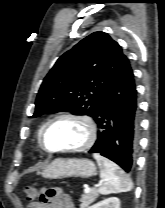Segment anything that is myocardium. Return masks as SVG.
Here are the masks:
<instances>
[{
    "label": "myocardium",
    "instance_id": "obj_1",
    "mask_svg": "<svg viewBox=\"0 0 165 208\" xmlns=\"http://www.w3.org/2000/svg\"><path fill=\"white\" fill-rule=\"evenodd\" d=\"M62 119H72L81 122L87 130V139L84 143L79 146L72 148H62V149H51L46 145L45 137L49 128L57 121ZM97 138V128L93 119L89 116L76 114V113H62L54 116L44 125L41 134H40V145L41 147L49 153L61 154V153H75L82 152L89 149L95 142Z\"/></svg>",
    "mask_w": 165,
    "mask_h": 208
}]
</instances>
